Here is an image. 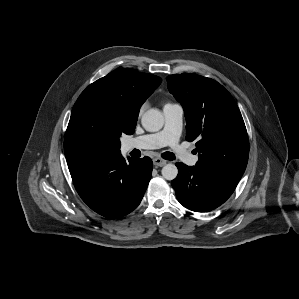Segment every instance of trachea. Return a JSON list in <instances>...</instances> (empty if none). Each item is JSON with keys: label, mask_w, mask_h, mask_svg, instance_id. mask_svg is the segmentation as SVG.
Returning a JSON list of instances; mask_svg holds the SVG:
<instances>
[{"label": "trachea", "mask_w": 299, "mask_h": 299, "mask_svg": "<svg viewBox=\"0 0 299 299\" xmlns=\"http://www.w3.org/2000/svg\"><path fill=\"white\" fill-rule=\"evenodd\" d=\"M161 156H162V158H164L166 160H175V156L171 152H164L161 154Z\"/></svg>", "instance_id": "1"}]
</instances>
